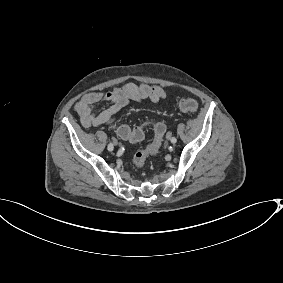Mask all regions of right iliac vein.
Returning a JSON list of instances; mask_svg holds the SVG:
<instances>
[{
    "instance_id": "right-iliac-vein-1",
    "label": "right iliac vein",
    "mask_w": 283,
    "mask_h": 283,
    "mask_svg": "<svg viewBox=\"0 0 283 283\" xmlns=\"http://www.w3.org/2000/svg\"><path fill=\"white\" fill-rule=\"evenodd\" d=\"M113 144H114L115 146H117V145H118V141H117V139H113Z\"/></svg>"
}]
</instances>
